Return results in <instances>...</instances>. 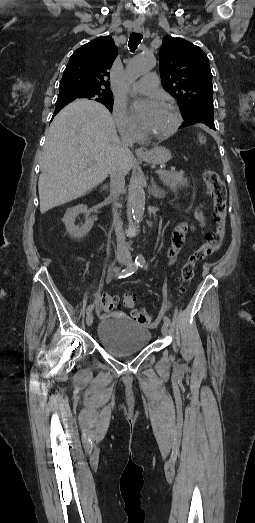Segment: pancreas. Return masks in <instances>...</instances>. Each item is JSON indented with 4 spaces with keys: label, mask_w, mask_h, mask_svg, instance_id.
<instances>
[{
    "label": "pancreas",
    "mask_w": 255,
    "mask_h": 523,
    "mask_svg": "<svg viewBox=\"0 0 255 523\" xmlns=\"http://www.w3.org/2000/svg\"><path fill=\"white\" fill-rule=\"evenodd\" d=\"M164 186H169L172 192H177L178 186H187L188 180L184 178L183 172H168L167 174L159 175Z\"/></svg>",
    "instance_id": "cf45deb5"
}]
</instances>
